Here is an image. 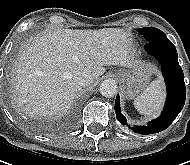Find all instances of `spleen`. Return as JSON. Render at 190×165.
Returning a JSON list of instances; mask_svg holds the SVG:
<instances>
[{"label":"spleen","mask_w":190,"mask_h":165,"mask_svg":"<svg viewBox=\"0 0 190 165\" xmlns=\"http://www.w3.org/2000/svg\"><path fill=\"white\" fill-rule=\"evenodd\" d=\"M165 97L164 84L161 78L150 83L146 90L134 100V107L145 116H156L162 107Z\"/></svg>","instance_id":"3e777b00"}]
</instances>
